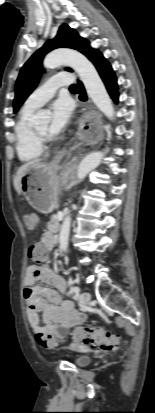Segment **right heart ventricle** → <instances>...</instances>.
<instances>
[{
  "label": "right heart ventricle",
  "mask_w": 155,
  "mask_h": 413,
  "mask_svg": "<svg viewBox=\"0 0 155 413\" xmlns=\"http://www.w3.org/2000/svg\"><path fill=\"white\" fill-rule=\"evenodd\" d=\"M34 110L24 106L15 126L16 152L23 162L34 161L43 153L42 143L36 138L31 124Z\"/></svg>",
  "instance_id": "e07e8e85"
}]
</instances>
